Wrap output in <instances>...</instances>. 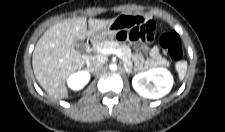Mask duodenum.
I'll return each instance as SVG.
<instances>
[{
  "mask_svg": "<svg viewBox=\"0 0 225 132\" xmlns=\"http://www.w3.org/2000/svg\"><path fill=\"white\" fill-rule=\"evenodd\" d=\"M86 45H87V50H88V51H92L93 48H94V46H95V40H94L93 38H89V39L87 40Z\"/></svg>",
  "mask_w": 225,
  "mask_h": 132,
  "instance_id": "410a0bca",
  "label": "duodenum"
}]
</instances>
